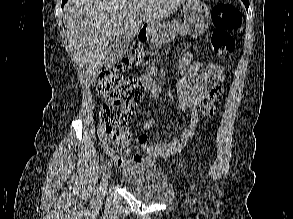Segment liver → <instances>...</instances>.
Here are the masks:
<instances>
[{
    "label": "liver",
    "mask_w": 293,
    "mask_h": 219,
    "mask_svg": "<svg viewBox=\"0 0 293 219\" xmlns=\"http://www.w3.org/2000/svg\"><path fill=\"white\" fill-rule=\"evenodd\" d=\"M188 0H68L63 21L75 63L87 81L95 78L115 37L133 38L142 19L153 27ZM143 13V16L139 14Z\"/></svg>",
    "instance_id": "1"
}]
</instances>
